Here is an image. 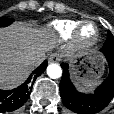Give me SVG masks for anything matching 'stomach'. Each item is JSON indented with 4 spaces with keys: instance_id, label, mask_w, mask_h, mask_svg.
<instances>
[{
    "instance_id": "obj_1",
    "label": "stomach",
    "mask_w": 114,
    "mask_h": 114,
    "mask_svg": "<svg viewBox=\"0 0 114 114\" xmlns=\"http://www.w3.org/2000/svg\"><path fill=\"white\" fill-rule=\"evenodd\" d=\"M72 76L75 82L83 83L87 80H98L105 71L102 57L96 53L78 55L70 60Z\"/></svg>"
}]
</instances>
